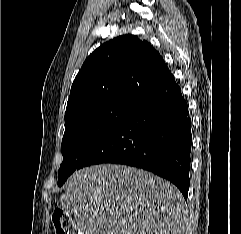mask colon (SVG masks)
I'll use <instances>...</instances> for the list:
<instances>
[{
  "label": "colon",
  "instance_id": "5ec220e1",
  "mask_svg": "<svg viewBox=\"0 0 241 234\" xmlns=\"http://www.w3.org/2000/svg\"><path fill=\"white\" fill-rule=\"evenodd\" d=\"M52 219L56 234H78L73 219L66 211L56 209Z\"/></svg>",
  "mask_w": 241,
  "mask_h": 234
}]
</instances>
